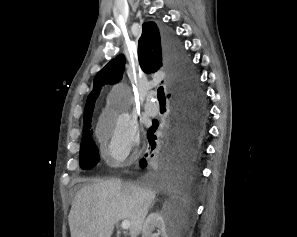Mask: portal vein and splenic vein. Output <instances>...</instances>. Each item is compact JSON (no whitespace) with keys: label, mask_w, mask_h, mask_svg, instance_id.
<instances>
[{"label":"portal vein and splenic vein","mask_w":297,"mask_h":237,"mask_svg":"<svg viewBox=\"0 0 297 237\" xmlns=\"http://www.w3.org/2000/svg\"><path fill=\"white\" fill-rule=\"evenodd\" d=\"M130 225H131L130 221H128V220H124L120 224L121 228L124 230H128L130 228Z\"/></svg>","instance_id":"1"}]
</instances>
